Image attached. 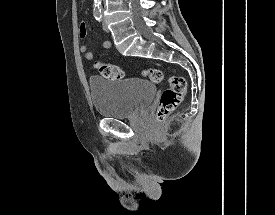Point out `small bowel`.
Wrapping results in <instances>:
<instances>
[{"mask_svg": "<svg viewBox=\"0 0 275 215\" xmlns=\"http://www.w3.org/2000/svg\"><path fill=\"white\" fill-rule=\"evenodd\" d=\"M87 36V25L85 22H82L78 27V37L84 39ZM111 47L110 41H104L101 45L102 50H107ZM79 52L84 56L86 60H92L94 58V53L88 49L87 46L82 45L79 47Z\"/></svg>", "mask_w": 275, "mask_h": 215, "instance_id": "c3829d8e", "label": "small bowel"}]
</instances>
